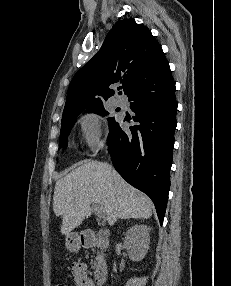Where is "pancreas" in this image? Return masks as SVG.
Here are the masks:
<instances>
[{"instance_id": "pancreas-1", "label": "pancreas", "mask_w": 231, "mask_h": 286, "mask_svg": "<svg viewBox=\"0 0 231 286\" xmlns=\"http://www.w3.org/2000/svg\"><path fill=\"white\" fill-rule=\"evenodd\" d=\"M103 261H104L103 253L98 252L97 257H96V261L91 262V267L95 268L97 266V264L102 263Z\"/></svg>"}]
</instances>
